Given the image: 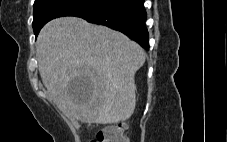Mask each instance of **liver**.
Wrapping results in <instances>:
<instances>
[{
  "mask_svg": "<svg viewBox=\"0 0 227 142\" xmlns=\"http://www.w3.org/2000/svg\"><path fill=\"white\" fill-rule=\"evenodd\" d=\"M36 54L48 94L67 115L88 124H115L132 116L134 77L146 55L124 34L77 17L57 18L41 29ZM80 73L87 78L69 81Z\"/></svg>",
  "mask_w": 227,
  "mask_h": 142,
  "instance_id": "6515ba94",
  "label": "liver"
}]
</instances>
